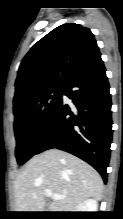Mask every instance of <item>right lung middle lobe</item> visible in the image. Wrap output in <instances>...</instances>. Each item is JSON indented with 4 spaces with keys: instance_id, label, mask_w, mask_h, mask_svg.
Wrapping results in <instances>:
<instances>
[{
    "instance_id": "right-lung-middle-lobe-1",
    "label": "right lung middle lobe",
    "mask_w": 123,
    "mask_h": 219,
    "mask_svg": "<svg viewBox=\"0 0 123 219\" xmlns=\"http://www.w3.org/2000/svg\"><path fill=\"white\" fill-rule=\"evenodd\" d=\"M64 86L35 92L14 103L16 158L22 165L36 154L40 139L62 103Z\"/></svg>"
}]
</instances>
